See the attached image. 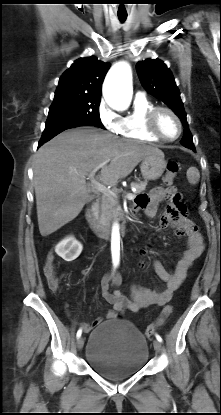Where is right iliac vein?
Returning a JSON list of instances; mask_svg holds the SVG:
<instances>
[{
    "label": "right iliac vein",
    "mask_w": 221,
    "mask_h": 415,
    "mask_svg": "<svg viewBox=\"0 0 221 415\" xmlns=\"http://www.w3.org/2000/svg\"><path fill=\"white\" fill-rule=\"evenodd\" d=\"M84 346V338L83 337H79L77 340V348L79 350H81Z\"/></svg>",
    "instance_id": "obj_1"
}]
</instances>
